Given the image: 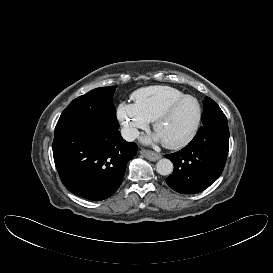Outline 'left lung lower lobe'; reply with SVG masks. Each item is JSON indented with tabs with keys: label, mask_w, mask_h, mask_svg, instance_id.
Masks as SVG:
<instances>
[{
	"label": "left lung lower lobe",
	"mask_w": 273,
	"mask_h": 273,
	"mask_svg": "<svg viewBox=\"0 0 273 273\" xmlns=\"http://www.w3.org/2000/svg\"><path fill=\"white\" fill-rule=\"evenodd\" d=\"M228 149V124L201 127L187 147L165 155L174 164L167 184L182 194L205 190L221 175Z\"/></svg>",
	"instance_id": "left-lung-lower-lobe-1"
}]
</instances>
